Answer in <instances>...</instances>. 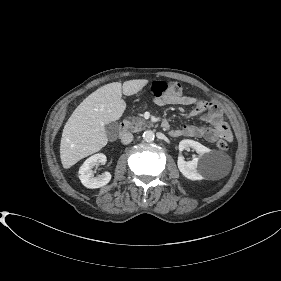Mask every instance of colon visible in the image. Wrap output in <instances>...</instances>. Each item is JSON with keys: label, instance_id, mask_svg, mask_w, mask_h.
<instances>
[{"label": "colon", "instance_id": "obj_1", "mask_svg": "<svg viewBox=\"0 0 281 281\" xmlns=\"http://www.w3.org/2000/svg\"><path fill=\"white\" fill-rule=\"evenodd\" d=\"M182 92L181 84L178 82L157 81L151 87V94L155 98L180 95ZM217 147L220 150L229 148V140L224 138L218 141Z\"/></svg>", "mask_w": 281, "mask_h": 281}]
</instances>
